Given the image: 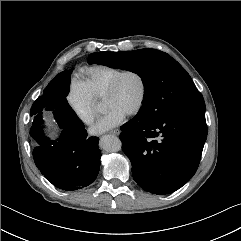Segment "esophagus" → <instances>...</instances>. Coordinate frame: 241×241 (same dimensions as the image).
I'll return each instance as SVG.
<instances>
[{
  "label": "esophagus",
  "instance_id": "esophagus-1",
  "mask_svg": "<svg viewBox=\"0 0 241 241\" xmlns=\"http://www.w3.org/2000/svg\"><path fill=\"white\" fill-rule=\"evenodd\" d=\"M119 133L120 131L118 129L110 131V134H113V135H118Z\"/></svg>",
  "mask_w": 241,
  "mask_h": 241
}]
</instances>
